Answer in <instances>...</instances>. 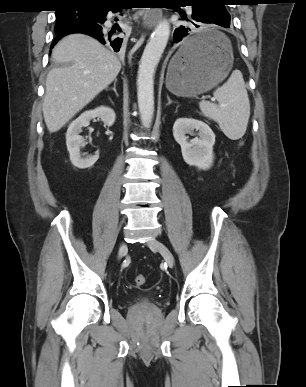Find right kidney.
I'll list each match as a JSON object with an SVG mask.
<instances>
[{
  "label": "right kidney",
  "instance_id": "1",
  "mask_svg": "<svg viewBox=\"0 0 306 387\" xmlns=\"http://www.w3.org/2000/svg\"><path fill=\"white\" fill-rule=\"evenodd\" d=\"M96 117L101 118L106 125L112 126L116 115L113 109L101 106L94 110L85 111L68 127L66 133L67 150L70 154L71 163L77 168H89L99 159V154L83 158L80 153V147L84 146V138L79 135L82 132V127H87L90 121Z\"/></svg>",
  "mask_w": 306,
  "mask_h": 387
}]
</instances>
